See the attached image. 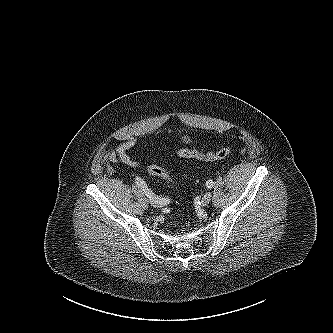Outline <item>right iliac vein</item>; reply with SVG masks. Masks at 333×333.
<instances>
[{"instance_id":"right-iliac-vein-1","label":"right iliac vein","mask_w":333,"mask_h":333,"mask_svg":"<svg viewBox=\"0 0 333 333\" xmlns=\"http://www.w3.org/2000/svg\"><path fill=\"white\" fill-rule=\"evenodd\" d=\"M149 202H150V204H151L153 207H157V208H159V207H162V206H163L162 204H160L159 202H157L155 199H150V198H149Z\"/></svg>"}]
</instances>
